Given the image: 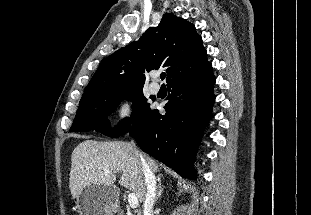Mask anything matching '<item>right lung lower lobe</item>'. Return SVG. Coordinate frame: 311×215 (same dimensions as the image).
<instances>
[{
	"instance_id": "1",
	"label": "right lung lower lobe",
	"mask_w": 311,
	"mask_h": 215,
	"mask_svg": "<svg viewBox=\"0 0 311 215\" xmlns=\"http://www.w3.org/2000/svg\"><path fill=\"white\" fill-rule=\"evenodd\" d=\"M215 77L206 61L167 83L166 113L150 110L129 133L139 147L183 177L195 179L191 166L202 130L211 117Z\"/></svg>"
}]
</instances>
